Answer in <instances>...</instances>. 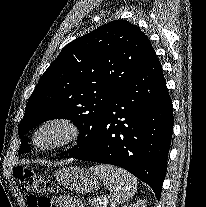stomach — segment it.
Masks as SVG:
<instances>
[{
  "label": "stomach",
  "mask_w": 206,
  "mask_h": 207,
  "mask_svg": "<svg viewBox=\"0 0 206 207\" xmlns=\"http://www.w3.org/2000/svg\"><path fill=\"white\" fill-rule=\"evenodd\" d=\"M57 183L77 193H91L99 189L96 177L88 170L80 167H67L55 171Z\"/></svg>",
  "instance_id": "stomach-1"
}]
</instances>
